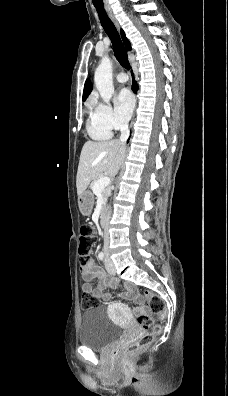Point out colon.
I'll list each match as a JSON object with an SVG mask.
<instances>
[{
  "label": "colon",
  "mask_w": 228,
  "mask_h": 396,
  "mask_svg": "<svg viewBox=\"0 0 228 396\" xmlns=\"http://www.w3.org/2000/svg\"><path fill=\"white\" fill-rule=\"evenodd\" d=\"M89 228L86 225L80 227L79 236V254L81 266H87L92 260L90 248L88 244ZM144 300L147 302L151 311L158 315L165 313V303L160 296L152 291H145L143 294ZM99 304L98 299L89 293H84L82 296L81 305L84 309H92L97 307ZM139 324L144 330L136 340H134L126 349L125 353H133L142 350L149 346L160 333L161 326L158 323L156 317L148 314H142L139 317Z\"/></svg>",
  "instance_id": "1"
}]
</instances>
